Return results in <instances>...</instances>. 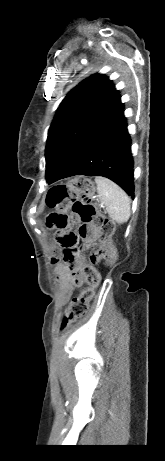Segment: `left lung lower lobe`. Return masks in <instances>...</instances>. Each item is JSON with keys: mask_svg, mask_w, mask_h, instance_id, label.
Wrapping results in <instances>:
<instances>
[{"mask_svg": "<svg viewBox=\"0 0 165 461\" xmlns=\"http://www.w3.org/2000/svg\"><path fill=\"white\" fill-rule=\"evenodd\" d=\"M133 164L130 135L118 95L48 183L75 175L103 176L133 197Z\"/></svg>", "mask_w": 165, "mask_h": 461, "instance_id": "obj_1", "label": "left lung lower lobe"}]
</instances>
